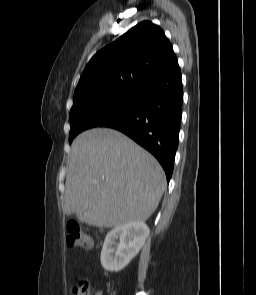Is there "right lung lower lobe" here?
Here are the masks:
<instances>
[{
	"label": "right lung lower lobe",
	"mask_w": 256,
	"mask_h": 295,
	"mask_svg": "<svg viewBox=\"0 0 256 295\" xmlns=\"http://www.w3.org/2000/svg\"><path fill=\"white\" fill-rule=\"evenodd\" d=\"M135 93V101L129 108L97 126L119 130L151 152L169 181L178 147L183 101L177 58Z\"/></svg>",
	"instance_id": "98d812e1"
}]
</instances>
